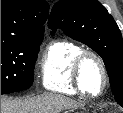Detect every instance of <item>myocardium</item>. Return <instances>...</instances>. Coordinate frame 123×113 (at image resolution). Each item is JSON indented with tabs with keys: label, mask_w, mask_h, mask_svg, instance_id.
I'll use <instances>...</instances> for the list:
<instances>
[{
	"label": "myocardium",
	"mask_w": 123,
	"mask_h": 113,
	"mask_svg": "<svg viewBox=\"0 0 123 113\" xmlns=\"http://www.w3.org/2000/svg\"><path fill=\"white\" fill-rule=\"evenodd\" d=\"M88 59H93L97 62V64L100 67L101 73H102V86L96 93H90L87 92L84 80H83V67L85 62ZM72 75H73V80L75 83V86L84 94L90 96V97H99L101 96L107 86H108V73H107V68L106 65L101 58L99 54L92 50H82L78 56L75 58L72 66Z\"/></svg>",
	"instance_id": "myocardium-1"
}]
</instances>
